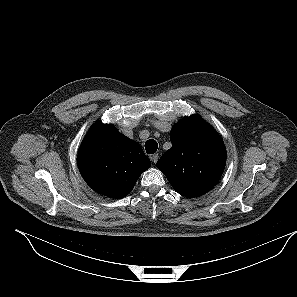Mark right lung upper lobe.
Here are the masks:
<instances>
[{
	"instance_id": "right-lung-upper-lobe-1",
	"label": "right lung upper lobe",
	"mask_w": 297,
	"mask_h": 297,
	"mask_svg": "<svg viewBox=\"0 0 297 297\" xmlns=\"http://www.w3.org/2000/svg\"><path fill=\"white\" fill-rule=\"evenodd\" d=\"M77 163L87 184L111 198L129 194L151 165L140 145L102 122H96L88 131L79 148Z\"/></svg>"
}]
</instances>
